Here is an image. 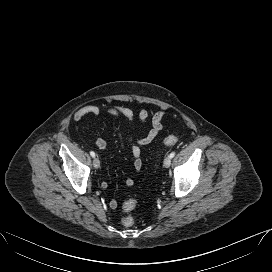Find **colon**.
Returning a JSON list of instances; mask_svg holds the SVG:
<instances>
[{
    "mask_svg": "<svg viewBox=\"0 0 272 272\" xmlns=\"http://www.w3.org/2000/svg\"><path fill=\"white\" fill-rule=\"evenodd\" d=\"M178 138L176 136H168L163 140V145L166 147H171L177 144ZM137 206L136 199H128L123 203L122 209L125 213L131 212ZM122 225L125 227H131L134 224V218L130 215H125L122 220Z\"/></svg>",
    "mask_w": 272,
    "mask_h": 272,
    "instance_id": "colon-1",
    "label": "colon"
}]
</instances>
